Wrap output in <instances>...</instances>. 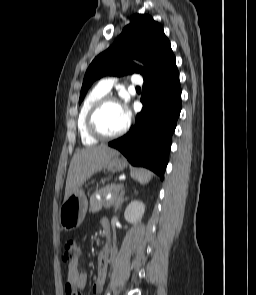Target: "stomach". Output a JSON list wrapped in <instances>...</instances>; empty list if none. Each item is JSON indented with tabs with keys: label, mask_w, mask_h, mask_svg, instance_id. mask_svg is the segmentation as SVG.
I'll return each instance as SVG.
<instances>
[{
	"label": "stomach",
	"mask_w": 256,
	"mask_h": 295,
	"mask_svg": "<svg viewBox=\"0 0 256 295\" xmlns=\"http://www.w3.org/2000/svg\"><path fill=\"white\" fill-rule=\"evenodd\" d=\"M124 167L125 162L119 157V154L114 155L105 166L111 172H120ZM87 208L88 201L85 192L82 188H78L64 200L60 208L59 221L61 226L67 231L78 228L85 218Z\"/></svg>",
	"instance_id": "obj_1"
}]
</instances>
